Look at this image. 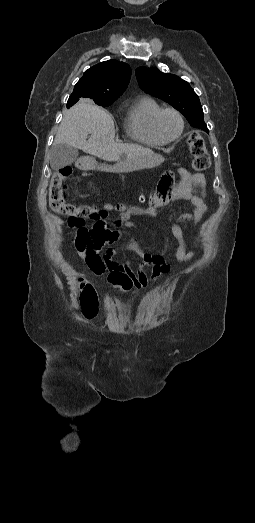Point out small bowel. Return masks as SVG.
I'll return each mask as SVG.
<instances>
[{
  "label": "small bowel",
  "instance_id": "c3829d8e",
  "mask_svg": "<svg viewBox=\"0 0 255 523\" xmlns=\"http://www.w3.org/2000/svg\"><path fill=\"white\" fill-rule=\"evenodd\" d=\"M179 172L182 180L175 189L171 192L167 189L163 195L158 193L153 196L149 206L146 208L133 207L127 210L121 215V219L117 223V229L109 228L105 220L94 221L90 227H87L82 224H75L68 219V227L73 230L72 243L78 255L92 272L97 275H101L106 271L122 273L130 277L137 287H146L170 273L171 266L165 262L164 258L168 248L167 243L165 248L157 254L140 251L134 238H130L126 243L115 244L122 235L121 231L137 228V225L131 221L132 217L138 215L155 217L157 211L172 200L182 199L190 205V213L181 215L180 221L193 220L197 223L201 220L207 211L205 177L201 173L193 174L185 169H181ZM169 177L166 179H169ZM197 187L202 189L200 195L195 193V188ZM170 227L171 233L177 242L175 258L179 265H183L191 260L195 253L194 251H187L183 231L179 224L171 223ZM106 245H111L112 248L103 253L102 250ZM126 248L136 251L140 257L139 269L136 273L131 270L130 263L120 264L113 259L117 251ZM146 267H151L152 269L150 278L144 273Z\"/></svg>",
  "mask_w": 255,
  "mask_h": 523
}]
</instances>
